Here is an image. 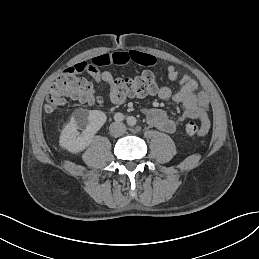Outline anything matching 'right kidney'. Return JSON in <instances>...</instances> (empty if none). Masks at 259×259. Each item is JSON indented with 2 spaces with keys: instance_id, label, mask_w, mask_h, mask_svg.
Wrapping results in <instances>:
<instances>
[{
  "instance_id": "ca27d5eb",
  "label": "right kidney",
  "mask_w": 259,
  "mask_h": 259,
  "mask_svg": "<svg viewBox=\"0 0 259 259\" xmlns=\"http://www.w3.org/2000/svg\"><path fill=\"white\" fill-rule=\"evenodd\" d=\"M105 122L106 115L102 111L76 109L70 122L61 132L60 146L72 153L83 151ZM78 129L82 130L81 134Z\"/></svg>"
}]
</instances>
